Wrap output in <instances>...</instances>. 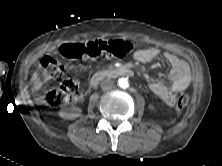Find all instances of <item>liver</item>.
Returning <instances> with one entry per match:
<instances>
[{
	"instance_id": "1",
	"label": "liver",
	"mask_w": 222,
	"mask_h": 166,
	"mask_svg": "<svg viewBox=\"0 0 222 166\" xmlns=\"http://www.w3.org/2000/svg\"><path fill=\"white\" fill-rule=\"evenodd\" d=\"M32 80H33V83H34V86H33L34 90H37V91L40 90L43 83L40 80L39 75H38L37 72L33 73Z\"/></svg>"
}]
</instances>
